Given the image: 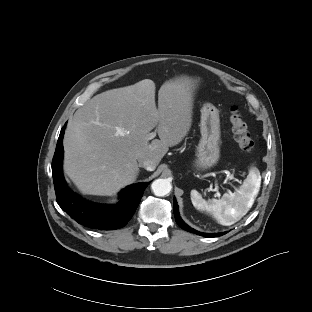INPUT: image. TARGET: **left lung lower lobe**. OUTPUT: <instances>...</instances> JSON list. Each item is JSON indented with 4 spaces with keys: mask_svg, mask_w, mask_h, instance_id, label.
I'll use <instances>...</instances> for the list:
<instances>
[{
    "mask_svg": "<svg viewBox=\"0 0 312 312\" xmlns=\"http://www.w3.org/2000/svg\"><path fill=\"white\" fill-rule=\"evenodd\" d=\"M173 209H174V215H175V220L177 222V224L184 230L192 232V233H196L199 234L201 236L204 237H217V236H221L225 233H202V232H198L196 230H194L193 228L189 227L188 225H186L183 220L181 219L180 215H179V211H178V205L176 200L174 199V205H173Z\"/></svg>",
    "mask_w": 312,
    "mask_h": 312,
    "instance_id": "left-lung-lower-lobe-1",
    "label": "left lung lower lobe"
}]
</instances>
